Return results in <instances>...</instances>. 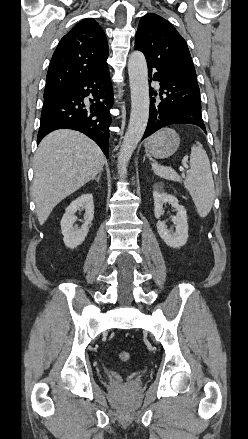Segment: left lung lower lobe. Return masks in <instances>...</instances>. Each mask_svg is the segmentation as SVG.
<instances>
[{
	"instance_id": "left-lung-lower-lobe-1",
	"label": "left lung lower lobe",
	"mask_w": 248,
	"mask_h": 439,
	"mask_svg": "<svg viewBox=\"0 0 248 439\" xmlns=\"http://www.w3.org/2000/svg\"><path fill=\"white\" fill-rule=\"evenodd\" d=\"M147 64L149 83L153 79L160 85L158 93L153 91V88L150 89V97L158 94L160 100L152 97L150 99L149 120L142 139L171 124H194L206 132L201 116L198 83L168 72L153 63Z\"/></svg>"
}]
</instances>
